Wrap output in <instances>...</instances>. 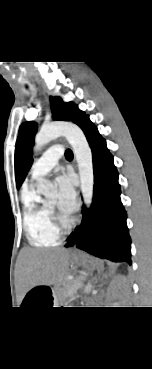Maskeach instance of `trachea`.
Listing matches in <instances>:
<instances>
[{"label":"trachea","mask_w":152,"mask_h":369,"mask_svg":"<svg viewBox=\"0 0 152 369\" xmlns=\"http://www.w3.org/2000/svg\"><path fill=\"white\" fill-rule=\"evenodd\" d=\"M65 157L68 159V158H72L73 157V153L70 149H67L65 151Z\"/></svg>","instance_id":"trachea-1"}]
</instances>
